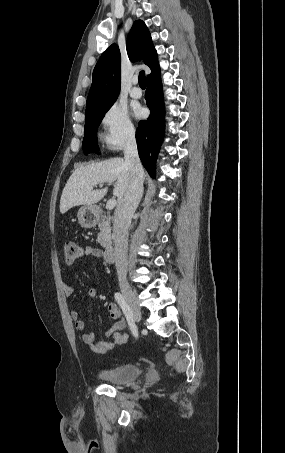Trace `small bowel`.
I'll list each match as a JSON object with an SVG mask.
<instances>
[{
  "instance_id": "c3829d8e",
  "label": "small bowel",
  "mask_w": 285,
  "mask_h": 453,
  "mask_svg": "<svg viewBox=\"0 0 285 453\" xmlns=\"http://www.w3.org/2000/svg\"><path fill=\"white\" fill-rule=\"evenodd\" d=\"M101 251L97 248L86 246L82 250V255L86 258L100 257ZM75 288L72 284L66 283L64 285V293L67 297H70L74 294ZM97 291L95 289H90L86 296L95 297ZM108 312L111 318L114 320V324L105 332L106 337H110L113 334H116L122 331L126 327V319L123 317L120 309L115 303H109L107 306ZM71 318L74 321L75 329L81 334L82 342L88 347V349L97 354H104L108 352L113 343L111 341H97L94 338V334L91 331L86 330L85 323L80 317V313L77 310L71 311Z\"/></svg>"
}]
</instances>
